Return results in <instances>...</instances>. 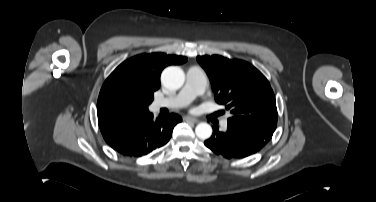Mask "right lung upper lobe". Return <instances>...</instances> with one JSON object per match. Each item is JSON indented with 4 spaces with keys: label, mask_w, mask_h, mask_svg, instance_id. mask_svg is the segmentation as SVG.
<instances>
[{
    "label": "right lung upper lobe",
    "mask_w": 376,
    "mask_h": 202,
    "mask_svg": "<svg viewBox=\"0 0 376 202\" xmlns=\"http://www.w3.org/2000/svg\"><path fill=\"white\" fill-rule=\"evenodd\" d=\"M186 61L183 56L151 53L137 55L121 63L101 88L97 102L99 127H108L148 112L138 106L120 104L117 94L125 89L153 93L160 87V74L166 66Z\"/></svg>",
    "instance_id": "obj_1"
}]
</instances>
